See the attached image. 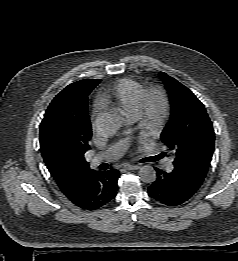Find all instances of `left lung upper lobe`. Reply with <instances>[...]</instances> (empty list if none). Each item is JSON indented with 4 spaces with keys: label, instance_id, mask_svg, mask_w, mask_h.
<instances>
[{
    "label": "left lung upper lobe",
    "instance_id": "1",
    "mask_svg": "<svg viewBox=\"0 0 238 261\" xmlns=\"http://www.w3.org/2000/svg\"><path fill=\"white\" fill-rule=\"evenodd\" d=\"M171 100V115L161 140L175 154V168L205 178L215 133L204 105L184 85L161 73Z\"/></svg>",
    "mask_w": 238,
    "mask_h": 261
}]
</instances>
